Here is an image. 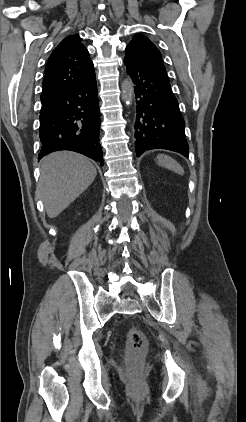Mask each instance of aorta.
Returning a JSON list of instances; mask_svg holds the SVG:
<instances>
[{
	"instance_id": "1",
	"label": "aorta",
	"mask_w": 246,
	"mask_h": 422,
	"mask_svg": "<svg viewBox=\"0 0 246 422\" xmlns=\"http://www.w3.org/2000/svg\"><path fill=\"white\" fill-rule=\"evenodd\" d=\"M121 89H122L123 99L125 100L127 104H131L134 97V86L131 80H128V79L124 80L121 85Z\"/></svg>"
}]
</instances>
